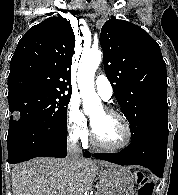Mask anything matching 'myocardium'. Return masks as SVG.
Here are the masks:
<instances>
[{
    "instance_id": "1",
    "label": "myocardium",
    "mask_w": 178,
    "mask_h": 195,
    "mask_svg": "<svg viewBox=\"0 0 178 195\" xmlns=\"http://www.w3.org/2000/svg\"><path fill=\"white\" fill-rule=\"evenodd\" d=\"M104 111L109 116L116 117L117 119H119L121 121V123L124 126L125 131H126V138L119 145H107L99 140V138L97 137L96 132L94 130V127H93L92 133H91L93 143L96 146H98L99 148H102V149H105L108 151H120V150L127 148L131 144L132 139H133V132H132V128H131L129 122L121 113H119L118 111H116L113 108L106 107V108H104Z\"/></svg>"
}]
</instances>
